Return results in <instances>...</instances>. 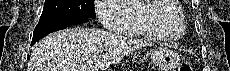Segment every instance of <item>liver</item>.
<instances>
[{"instance_id": "obj_1", "label": "liver", "mask_w": 230, "mask_h": 71, "mask_svg": "<svg viewBox=\"0 0 230 71\" xmlns=\"http://www.w3.org/2000/svg\"><path fill=\"white\" fill-rule=\"evenodd\" d=\"M149 45L132 39L89 28H69L40 40L31 53L27 71H78L93 67L106 71L124 56Z\"/></svg>"}]
</instances>
